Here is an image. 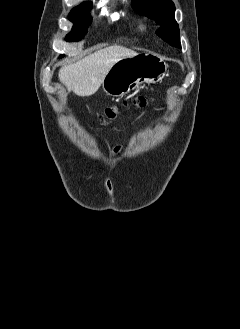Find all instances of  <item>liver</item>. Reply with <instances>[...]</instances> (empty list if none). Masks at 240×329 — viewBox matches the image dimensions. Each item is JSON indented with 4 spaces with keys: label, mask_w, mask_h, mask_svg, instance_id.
<instances>
[{
    "label": "liver",
    "mask_w": 240,
    "mask_h": 329,
    "mask_svg": "<svg viewBox=\"0 0 240 329\" xmlns=\"http://www.w3.org/2000/svg\"><path fill=\"white\" fill-rule=\"evenodd\" d=\"M137 53L120 45L100 49L76 63L65 65L58 72L59 80L69 92L86 97L95 94L111 67L120 59Z\"/></svg>",
    "instance_id": "liver-1"
}]
</instances>
